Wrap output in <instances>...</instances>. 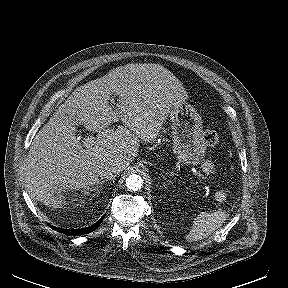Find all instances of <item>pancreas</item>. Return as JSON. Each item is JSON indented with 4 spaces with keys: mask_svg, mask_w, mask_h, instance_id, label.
<instances>
[{
    "mask_svg": "<svg viewBox=\"0 0 288 288\" xmlns=\"http://www.w3.org/2000/svg\"><path fill=\"white\" fill-rule=\"evenodd\" d=\"M202 167H203V169L206 168L208 170L207 172H210L211 170H213L214 164L212 163L211 160L207 159L203 162Z\"/></svg>",
    "mask_w": 288,
    "mask_h": 288,
    "instance_id": "1",
    "label": "pancreas"
}]
</instances>
